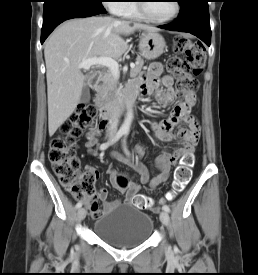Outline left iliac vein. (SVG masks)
I'll return each mask as SVG.
<instances>
[{
    "label": "left iliac vein",
    "mask_w": 258,
    "mask_h": 275,
    "mask_svg": "<svg viewBox=\"0 0 258 275\" xmlns=\"http://www.w3.org/2000/svg\"><path fill=\"white\" fill-rule=\"evenodd\" d=\"M160 220L164 225H168L169 223V214L166 211H162L160 213Z\"/></svg>",
    "instance_id": "4c4485c4"
}]
</instances>
